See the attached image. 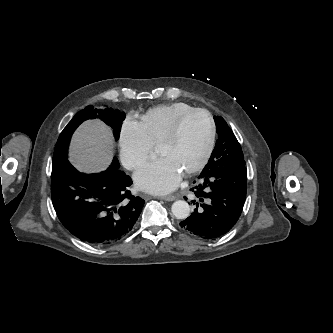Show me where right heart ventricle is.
<instances>
[{"mask_svg": "<svg viewBox=\"0 0 333 333\" xmlns=\"http://www.w3.org/2000/svg\"><path fill=\"white\" fill-rule=\"evenodd\" d=\"M193 108V106L184 102L160 105L147 110L141 116V123L152 143L157 145L173 122L181 114Z\"/></svg>", "mask_w": 333, "mask_h": 333, "instance_id": "right-heart-ventricle-1", "label": "right heart ventricle"}]
</instances>
